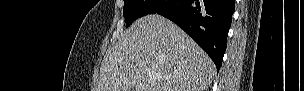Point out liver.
<instances>
[{
    "label": "liver",
    "instance_id": "1",
    "mask_svg": "<svg viewBox=\"0 0 304 91\" xmlns=\"http://www.w3.org/2000/svg\"><path fill=\"white\" fill-rule=\"evenodd\" d=\"M214 73L211 58L179 26L151 14L108 49L97 91H206Z\"/></svg>",
    "mask_w": 304,
    "mask_h": 91
}]
</instances>
